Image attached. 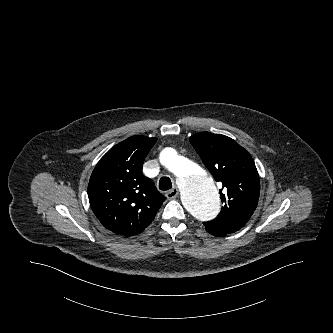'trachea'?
Segmentation results:
<instances>
[{
  "instance_id": "trachea-1",
  "label": "trachea",
  "mask_w": 333,
  "mask_h": 333,
  "mask_svg": "<svg viewBox=\"0 0 333 333\" xmlns=\"http://www.w3.org/2000/svg\"><path fill=\"white\" fill-rule=\"evenodd\" d=\"M172 188V182L169 177H162L159 180V189L162 191H166Z\"/></svg>"
}]
</instances>
